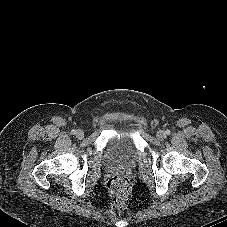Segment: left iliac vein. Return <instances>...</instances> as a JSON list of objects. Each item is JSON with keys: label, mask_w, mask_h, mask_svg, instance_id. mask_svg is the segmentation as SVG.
<instances>
[{"label": "left iliac vein", "mask_w": 227, "mask_h": 227, "mask_svg": "<svg viewBox=\"0 0 227 227\" xmlns=\"http://www.w3.org/2000/svg\"><path fill=\"white\" fill-rule=\"evenodd\" d=\"M157 138L159 139V140H163V139H165L166 138V132L165 131H163V130H159L158 132H157Z\"/></svg>", "instance_id": "left-iliac-vein-1"}]
</instances>
